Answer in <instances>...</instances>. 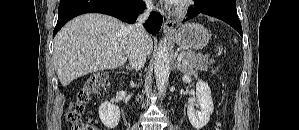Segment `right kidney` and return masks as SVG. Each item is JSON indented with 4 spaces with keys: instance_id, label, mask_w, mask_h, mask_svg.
Segmentation results:
<instances>
[{
    "instance_id": "1",
    "label": "right kidney",
    "mask_w": 299,
    "mask_h": 130,
    "mask_svg": "<svg viewBox=\"0 0 299 130\" xmlns=\"http://www.w3.org/2000/svg\"><path fill=\"white\" fill-rule=\"evenodd\" d=\"M99 118L104 126L115 128L120 120V109L108 101L103 102L98 109Z\"/></svg>"
}]
</instances>
